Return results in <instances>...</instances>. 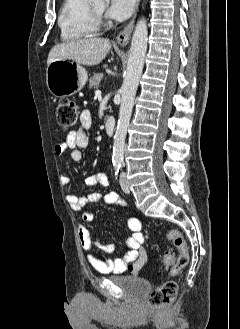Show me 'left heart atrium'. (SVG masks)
<instances>
[{
    "label": "left heart atrium",
    "instance_id": "39dd6f15",
    "mask_svg": "<svg viewBox=\"0 0 240 329\" xmlns=\"http://www.w3.org/2000/svg\"><path fill=\"white\" fill-rule=\"evenodd\" d=\"M135 2L136 0H111L106 15L111 19L123 21L131 15Z\"/></svg>",
    "mask_w": 240,
    "mask_h": 329
}]
</instances>
